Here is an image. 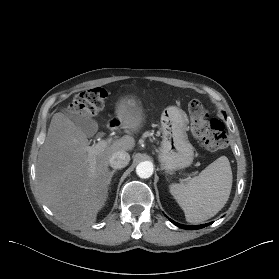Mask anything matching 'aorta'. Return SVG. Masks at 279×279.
Instances as JSON below:
<instances>
[{"label": "aorta", "mask_w": 279, "mask_h": 279, "mask_svg": "<svg viewBox=\"0 0 279 279\" xmlns=\"http://www.w3.org/2000/svg\"><path fill=\"white\" fill-rule=\"evenodd\" d=\"M153 164L149 161H144L141 162L137 165L136 167V174L140 177V178H149L152 176L153 174Z\"/></svg>", "instance_id": "obj_1"}]
</instances>
